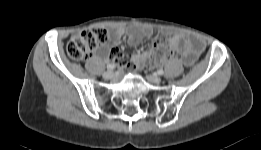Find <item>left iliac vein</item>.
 <instances>
[{
  "label": "left iliac vein",
  "mask_w": 261,
  "mask_h": 150,
  "mask_svg": "<svg viewBox=\"0 0 261 150\" xmlns=\"http://www.w3.org/2000/svg\"><path fill=\"white\" fill-rule=\"evenodd\" d=\"M147 79L149 82H151L153 84H159L161 82V78L156 75L148 76Z\"/></svg>",
  "instance_id": "left-iliac-vein-1"
}]
</instances>
